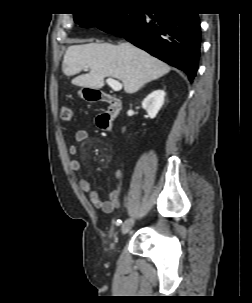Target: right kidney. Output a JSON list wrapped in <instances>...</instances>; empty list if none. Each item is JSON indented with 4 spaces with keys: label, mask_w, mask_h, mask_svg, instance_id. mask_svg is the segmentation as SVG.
<instances>
[{
    "label": "right kidney",
    "mask_w": 252,
    "mask_h": 303,
    "mask_svg": "<svg viewBox=\"0 0 252 303\" xmlns=\"http://www.w3.org/2000/svg\"><path fill=\"white\" fill-rule=\"evenodd\" d=\"M166 93L164 90L158 89L150 93L143 101L142 107L148 113V116L153 119L161 109L164 103Z\"/></svg>",
    "instance_id": "ca27d5eb"
}]
</instances>
